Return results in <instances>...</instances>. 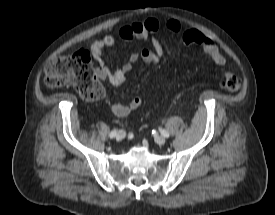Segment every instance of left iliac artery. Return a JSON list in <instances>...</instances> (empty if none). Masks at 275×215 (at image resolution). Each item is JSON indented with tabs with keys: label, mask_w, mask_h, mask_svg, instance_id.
<instances>
[{
	"label": "left iliac artery",
	"mask_w": 275,
	"mask_h": 215,
	"mask_svg": "<svg viewBox=\"0 0 275 215\" xmlns=\"http://www.w3.org/2000/svg\"><path fill=\"white\" fill-rule=\"evenodd\" d=\"M160 132H161L162 136H164V137H169L168 131H166V130H164V129H160Z\"/></svg>",
	"instance_id": "obj_1"
}]
</instances>
